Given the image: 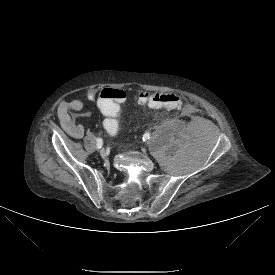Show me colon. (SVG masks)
I'll return each mask as SVG.
<instances>
[{"label":"colon","instance_id":"1","mask_svg":"<svg viewBox=\"0 0 275 275\" xmlns=\"http://www.w3.org/2000/svg\"><path fill=\"white\" fill-rule=\"evenodd\" d=\"M127 97L125 91L120 89L107 88L97 96L99 110L105 118L101 121V128L109 138H116L120 134V127L117 120V105L124 102ZM139 101L153 109L173 110L178 108L182 99L173 93H152L142 92L138 96Z\"/></svg>","mask_w":275,"mask_h":275}]
</instances>
